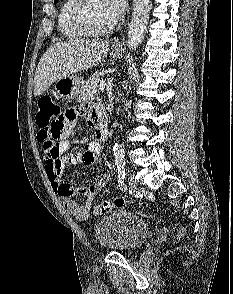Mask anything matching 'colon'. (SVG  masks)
<instances>
[{
    "instance_id": "1",
    "label": "colon",
    "mask_w": 233,
    "mask_h": 294,
    "mask_svg": "<svg viewBox=\"0 0 233 294\" xmlns=\"http://www.w3.org/2000/svg\"><path fill=\"white\" fill-rule=\"evenodd\" d=\"M58 108L61 107L54 101L52 97L43 96L40 98L38 102V111L36 114V123L41 129L40 132H48L44 131V126H50V120H57L55 111L58 110ZM123 205L124 200L122 198H116L113 202H103L97 205L95 208V213L98 215L107 214Z\"/></svg>"
}]
</instances>
